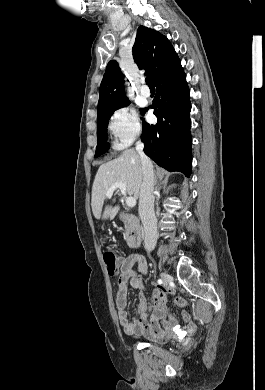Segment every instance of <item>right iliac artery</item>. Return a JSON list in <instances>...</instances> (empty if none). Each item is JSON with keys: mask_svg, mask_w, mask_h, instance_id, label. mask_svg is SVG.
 <instances>
[{"mask_svg": "<svg viewBox=\"0 0 265 390\" xmlns=\"http://www.w3.org/2000/svg\"><path fill=\"white\" fill-rule=\"evenodd\" d=\"M157 282H158V284H160V285L163 283L161 279H158Z\"/></svg>", "mask_w": 265, "mask_h": 390, "instance_id": "right-iliac-artery-1", "label": "right iliac artery"}]
</instances>
